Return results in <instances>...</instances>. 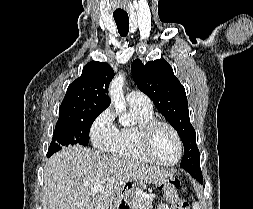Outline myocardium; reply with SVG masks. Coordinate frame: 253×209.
Returning a JSON list of instances; mask_svg holds the SVG:
<instances>
[{"mask_svg":"<svg viewBox=\"0 0 253 209\" xmlns=\"http://www.w3.org/2000/svg\"><path fill=\"white\" fill-rule=\"evenodd\" d=\"M158 126H164L168 128L175 137V140L177 143V156L171 162H164V161L159 160L156 156H154V154L151 151L150 146H151L152 135H153L154 130ZM138 140H139V147L142 154L144 155L146 159H148L149 161L153 163H156L165 167H172V166L177 165L182 157L183 145H182L181 137L178 131L176 130V128L167 121L153 118L141 123L138 126Z\"/></svg>","mask_w":253,"mask_h":209,"instance_id":"myocardium-1","label":"myocardium"}]
</instances>
